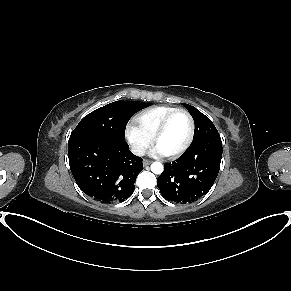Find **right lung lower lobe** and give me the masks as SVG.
Instances as JSON below:
<instances>
[{
    "label": "right lung lower lobe",
    "mask_w": 291,
    "mask_h": 291,
    "mask_svg": "<svg viewBox=\"0 0 291 291\" xmlns=\"http://www.w3.org/2000/svg\"><path fill=\"white\" fill-rule=\"evenodd\" d=\"M68 158L79 188L101 203L122 202L132 195L143 170L142 158L125 140L106 136L69 139Z\"/></svg>",
    "instance_id": "right-lung-lower-lobe-1"
}]
</instances>
